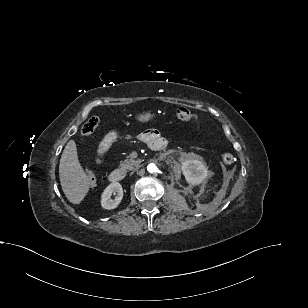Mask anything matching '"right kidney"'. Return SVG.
<instances>
[{"label": "right kidney", "instance_id": "1", "mask_svg": "<svg viewBox=\"0 0 308 308\" xmlns=\"http://www.w3.org/2000/svg\"><path fill=\"white\" fill-rule=\"evenodd\" d=\"M117 194L115 199H111L112 194ZM123 198V189L119 182L109 184L101 195V206L104 209L110 210L116 208Z\"/></svg>", "mask_w": 308, "mask_h": 308}]
</instances>
